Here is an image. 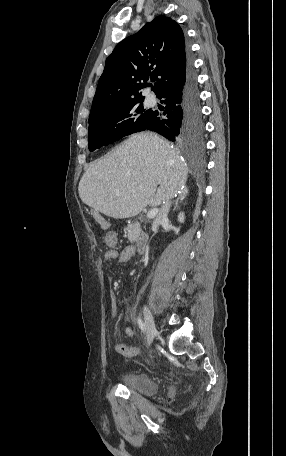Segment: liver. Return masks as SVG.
I'll use <instances>...</instances> for the list:
<instances>
[{
	"label": "liver",
	"mask_w": 286,
	"mask_h": 456,
	"mask_svg": "<svg viewBox=\"0 0 286 456\" xmlns=\"http://www.w3.org/2000/svg\"><path fill=\"white\" fill-rule=\"evenodd\" d=\"M187 175L176 148L156 133L142 132L93 162L78 192L89 207L116 219L129 218L147 205L172 198L184 187Z\"/></svg>",
	"instance_id": "obj_1"
}]
</instances>
